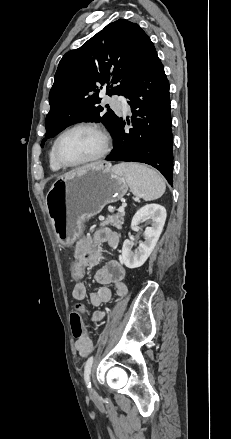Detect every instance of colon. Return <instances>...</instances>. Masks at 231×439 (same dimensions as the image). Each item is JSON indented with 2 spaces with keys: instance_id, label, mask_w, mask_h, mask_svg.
I'll list each match as a JSON object with an SVG mask.
<instances>
[{
  "instance_id": "1",
  "label": "colon",
  "mask_w": 231,
  "mask_h": 439,
  "mask_svg": "<svg viewBox=\"0 0 231 439\" xmlns=\"http://www.w3.org/2000/svg\"><path fill=\"white\" fill-rule=\"evenodd\" d=\"M82 263L83 260L80 257L75 258V260H73L72 262L70 272L72 279H75L72 288L74 286V283H86L85 280L83 279L86 268L85 265ZM70 326H71L72 334L75 338L77 339L89 338L88 333L84 328L82 318L77 311H73L70 314Z\"/></svg>"
}]
</instances>
